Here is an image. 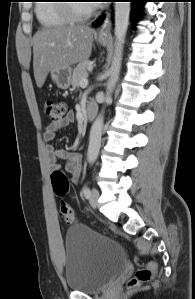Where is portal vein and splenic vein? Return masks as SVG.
Returning a JSON list of instances; mask_svg holds the SVG:
<instances>
[{
  "instance_id": "portal-vein-and-splenic-vein-1",
  "label": "portal vein and splenic vein",
  "mask_w": 195,
  "mask_h": 299,
  "mask_svg": "<svg viewBox=\"0 0 195 299\" xmlns=\"http://www.w3.org/2000/svg\"><path fill=\"white\" fill-rule=\"evenodd\" d=\"M87 85H88V79L87 78L82 79L80 82V86L86 87Z\"/></svg>"
}]
</instances>
